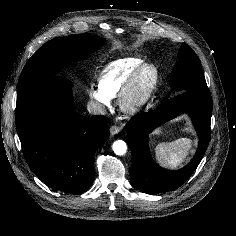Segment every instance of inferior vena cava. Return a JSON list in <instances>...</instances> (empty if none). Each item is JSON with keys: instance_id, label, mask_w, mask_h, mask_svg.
<instances>
[{"instance_id": "obj_1", "label": "inferior vena cava", "mask_w": 236, "mask_h": 236, "mask_svg": "<svg viewBox=\"0 0 236 236\" xmlns=\"http://www.w3.org/2000/svg\"><path fill=\"white\" fill-rule=\"evenodd\" d=\"M87 110L92 115H101L106 113L105 106L97 101H89L87 104Z\"/></svg>"}]
</instances>
